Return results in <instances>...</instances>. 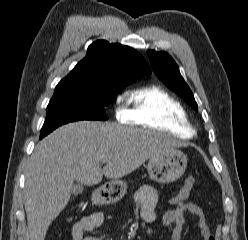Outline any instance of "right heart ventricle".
I'll use <instances>...</instances> for the list:
<instances>
[{"label": "right heart ventricle", "mask_w": 248, "mask_h": 240, "mask_svg": "<svg viewBox=\"0 0 248 240\" xmlns=\"http://www.w3.org/2000/svg\"><path fill=\"white\" fill-rule=\"evenodd\" d=\"M129 124L190 139L194 129L183 104L167 90L150 85L133 89L128 95Z\"/></svg>", "instance_id": "1"}]
</instances>
